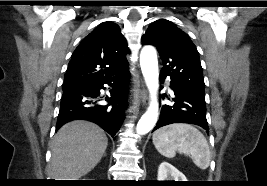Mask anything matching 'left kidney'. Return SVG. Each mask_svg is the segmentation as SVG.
Segmentation results:
<instances>
[{
  "label": "left kidney",
  "mask_w": 267,
  "mask_h": 186,
  "mask_svg": "<svg viewBox=\"0 0 267 186\" xmlns=\"http://www.w3.org/2000/svg\"><path fill=\"white\" fill-rule=\"evenodd\" d=\"M158 181H187L186 177L168 162H162L158 168Z\"/></svg>",
  "instance_id": "left-kidney-1"
}]
</instances>
